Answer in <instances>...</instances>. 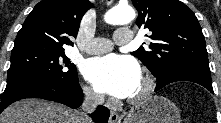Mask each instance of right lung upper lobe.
Returning <instances> with one entry per match:
<instances>
[{
    "label": "right lung upper lobe",
    "instance_id": "cb5924a9",
    "mask_svg": "<svg viewBox=\"0 0 221 123\" xmlns=\"http://www.w3.org/2000/svg\"><path fill=\"white\" fill-rule=\"evenodd\" d=\"M91 7L89 0H42L23 23L12 51L73 46L70 37L77 36L80 21Z\"/></svg>",
    "mask_w": 221,
    "mask_h": 123
}]
</instances>
